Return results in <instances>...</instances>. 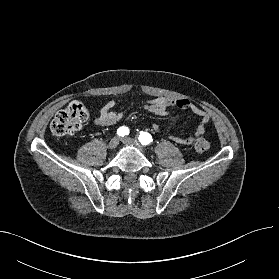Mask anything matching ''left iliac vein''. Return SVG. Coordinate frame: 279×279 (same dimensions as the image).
I'll list each match as a JSON object with an SVG mask.
<instances>
[{
  "label": "left iliac vein",
  "instance_id": "4c4485c4",
  "mask_svg": "<svg viewBox=\"0 0 279 279\" xmlns=\"http://www.w3.org/2000/svg\"><path fill=\"white\" fill-rule=\"evenodd\" d=\"M122 142L125 145L136 147L138 150H140L143 153L145 152L144 147L138 141H136L132 138L125 137V138L122 139Z\"/></svg>",
  "mask_w": 279,
  "mask_h": 279
}]
</instances>
